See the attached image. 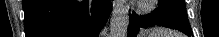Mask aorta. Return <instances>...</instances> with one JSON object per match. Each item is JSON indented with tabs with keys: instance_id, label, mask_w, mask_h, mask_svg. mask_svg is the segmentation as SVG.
<instances>
[{
	"instance_id": "obj_1",
	"label": "aorta",
	"mask_w": 219,
	"mask_h": 37,
	"mask_svg": "<svg viewBox=\"0 0 219 37\" xmlns=\"http://www.w3.org/2000/svg\"><path fill=\"white\" fill-rule=\"evenodd\" d=\"M129 14L123 4H117L111 15L110 37H126Z\"/></svg>"
}]
</instances>
